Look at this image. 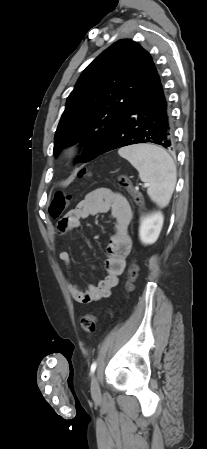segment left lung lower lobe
I'll return each mask as SVG.
<instances>
[{"label":"left lung lower lobe","mask_w":207,"mask_h":449,"mask_svg":"<svg viewBox=\"0 0 207 449\" xmlns=\"http://www.w3.org/2000/svg\"><path fill=\"white\" fill-rule=\"evenodd\" d=\"M137 143H153L166 149H172L174 145L170 107L156 69L142 94L95 157Z\"/></svg>","instance_id":"1"}]
</instances>
